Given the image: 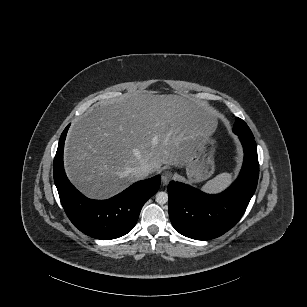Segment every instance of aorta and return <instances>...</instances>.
I'll list each match as a JSON object with an SVG mask.
<instances>
[{
  "label": "aorta",
  "instance_id": "obj_1",
  "mask_svg": "<svg viewBox=\"0 0 307 307\" xmlns=\"http://www.w3.org/2000/svg\"><path fill=\"white\" fill-rule=\"evenodd\" d=\"M155 197L158 204H165L168 201V194L166 192H158Z\"/></svg>",
  "mask_w": 307,
  "mask_h": 307
}]
</instances>
